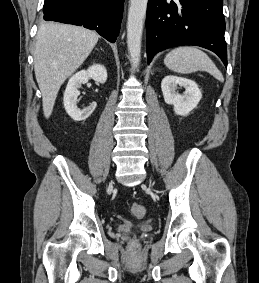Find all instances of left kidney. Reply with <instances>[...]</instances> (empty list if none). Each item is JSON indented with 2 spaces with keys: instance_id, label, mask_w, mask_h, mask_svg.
<instances>
[{
  "instance_id": "obj_1",
  "label": "left kidney",
  "mask_w": 259,
  "mask_h": 283,
  "mask_svg": "<svg viewBox=\"0 0 259 283\" xmlns=\"http://www.w3.org/2000/svg\"><path fill=\"white\" fill-rule=\"evenodd\" d=\"M183 86L185 93L180 95L176 93L177 86ZM161 89L164 101L174 106V112L177 115L186 116L197 107L202 98V94L197 84L186 78L168 75L161 82Z\"/></svg>"
}]
</instances>
